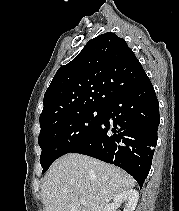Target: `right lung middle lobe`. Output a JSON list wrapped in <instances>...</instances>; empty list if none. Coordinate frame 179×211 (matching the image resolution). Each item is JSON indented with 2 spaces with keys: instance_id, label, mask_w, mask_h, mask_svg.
Here are the masks:
<instances>
[{
  "instance_id": "right-lung-middle-lobe-1",
  "label": "right lung middle lobe",
  "mask_w": 179,
  "mask_h": 211,
  "mask_svg": "<svg viewBox=\"0 0 179 211\" xmlns=\"http://www.w3.org/2000/svg\"><path fill=\"white\" fill-rule=\"evenodd\" d=\"M105 108H92L59 117L41 128L38 143L42 149L43 173L60 156L87 142L100 126Z\"/></svg>"
}]
</instances>
